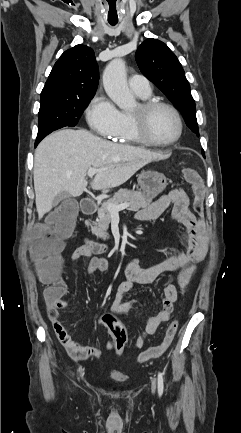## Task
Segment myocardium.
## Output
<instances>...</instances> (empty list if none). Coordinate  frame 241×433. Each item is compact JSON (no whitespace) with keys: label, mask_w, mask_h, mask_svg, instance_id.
<instances>
[{"label":"myocardium","mask_w":241,"mask_h":433,"mask_svg":"<svg viewBox=\"0 0 241 433\" xmlns=\"http://www.w3.org/2000/svg\"><path fill=\"white\" fill-rule=\"evenodd\" d=\"M138 107H139L138 112L136 113L132 112L130 116H131L133 129L136 135L142 141V143L150 146H155V147H169L176 144L180 140L183 134V121L179 111L173 105L164 101L149 99L141 102L138 105ZM158 108H166L169 111H171L177 121V125H178L177 135L175 136L174 139H172L169 142L156 141L150 136L148 132L149 117L153 113V111H155Z\"/></svg>","instance_id":"f54148a6"}]
</instances>
